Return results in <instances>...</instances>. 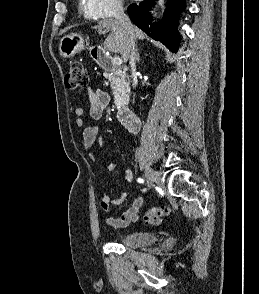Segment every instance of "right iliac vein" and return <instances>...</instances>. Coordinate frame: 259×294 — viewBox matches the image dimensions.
Segmentation results:
<instances>
[{
	"mask_svg": "<svg viewBox=\"0 0 259 294\" xmlns=\"http://www.w3.org/2000/svg\"><path fill=\"white\" fill-rule=\"evenodd\" d=\"M145 173H146V176H147V179H148L149 188H152V186L155 183L160 182V177H159L158 173L154 169H152L151 167L146 166L145 167Z\"/></svg>",
	"mask_w": 259,
	"mask_h": 294,
	"instance_id": "63e3f726",
	"label": "right iliac vein"
}]
</instances>
